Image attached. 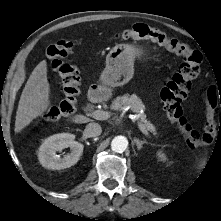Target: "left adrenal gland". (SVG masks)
<instances>
[{
  "label": "left adrenal gland",
  "mask_w": 221,
  "mask_h": 221,
  "mask_svg": "<svg viewBox=\"0 0 221 221\" xmlns=\"http://www.w3.org/2000/svg\"><path fill=\"white\" fill-rule=\"evenodd\" d=\"M134 142L136 143L138 150H141L143 147V144L147 143L146 141H142L137 138H134Z\"/></svg>",
  "instance_id": "1"
}]
</instances>
